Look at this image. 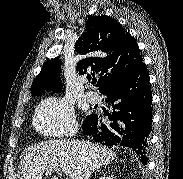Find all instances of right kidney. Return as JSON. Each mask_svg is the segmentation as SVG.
Wrapping results in <instances>:
<instances>
[{
    "label": "right kidney",
    "instance_id": "ca27d5eb",
    "mask_svg": "<svg viewBox=\"0 0 183 179\" xmlns=\"http://www.w3.org/2000/svg\"><path fill=\"white\" fill-rule=\"evenodd\" d=\"M99 179H112L110 176H103V177H100Z\"/></svg>",
    "mask_w": 183,
    "mask_h": 179
}]
</instances>
